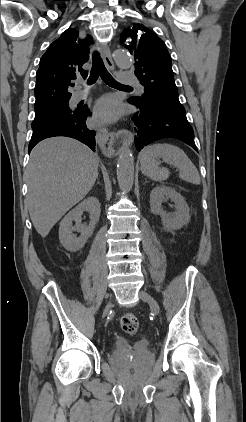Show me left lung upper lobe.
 Segmentation results:
<instances>
[{
    "instance_id": "obj_1",
    "label": "left lung upper lobe",
    "mask_w": 246,
    "mask_h": 422,
    "mask_svg": "<svg viewBox=\"0 0 246 422\" xmlns=\"http://www.w3.org/2000/svg\"><path fill=\"white\" fill-rule=\"evenodd\" d=\"M120 43L134 55L135 75L145 87L141 97H131L134 105L152 104L169 110L185 112L178 99L171 67V57L165 43L150 29L136 24L125 29Z\"/></svg>"
}]
</instances>
